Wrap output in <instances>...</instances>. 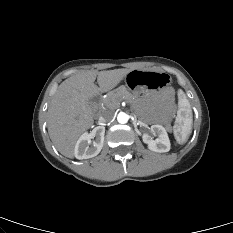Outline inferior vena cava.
<instances>
[{
    "mask_svg": "<svg viewBox=\"0 0 233 233\" xmlns=\"http://www.w3.org/2000/svg\"><path fill=\"white\" fill-rule=\"evenodd\" d=\"M114 118V112L111 110L104 111L102 115L99 117L100 123H106L111 121Z\"/></svg>",
    "mask_w": 233,
    "mask_h": 233,
    "instance_id": "602c4592",
    "label": "inferior vena cava"
}]
</instances>
